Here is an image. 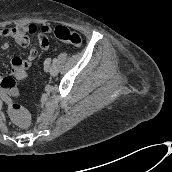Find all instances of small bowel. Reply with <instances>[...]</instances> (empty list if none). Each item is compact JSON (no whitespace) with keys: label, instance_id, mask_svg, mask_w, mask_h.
<instances>
[{"label":"small bowel","instance_id":"c3829d8e","mask_svg":"<svg viewBox=\"0 0 172 172\" xmlns=\"http://www.w3.org/2000/svg\"><path fill=\"white\" fill-rule=\"evenodd\" d=\"M50 30L48 25H42L38 27L35 24H31L28 26H15L11 28L2 27L0 28V48L3 50H7L9 48V43L5 40L7 38L13 39L16 43H18L22 47H27L30 44V35H36V43L39 47L46 51L49 49V41L47 39L46 33ZM37 57V50L32 48L26 59H22L21 57L14 56L10 60V65L12 67L13 72L17 74L18 77L23 75V72L26 68H28L33 61Z\"/></svg>","mask_w":172,"mask_h":172}]
</instances>
